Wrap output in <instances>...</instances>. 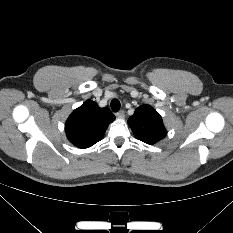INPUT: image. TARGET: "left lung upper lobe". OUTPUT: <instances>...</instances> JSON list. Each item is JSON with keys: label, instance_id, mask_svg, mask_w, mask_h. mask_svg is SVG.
<instances>
[{"label": "left lung upper lobe", "instance_id": "1", "mask_svg": "<svg viewBox=\"0 0 233 233\" xmlns=\"http://www.w3.org/2000/svg\"><path fill=\"white\" fill-rule=\"evenodd\" d=\"M128 124L135 137L147 144H154L166 136L162 117L150 105L139 106Z\"/></svg>", "mask_w": 233, "mask_h": 233}]
</instances>
